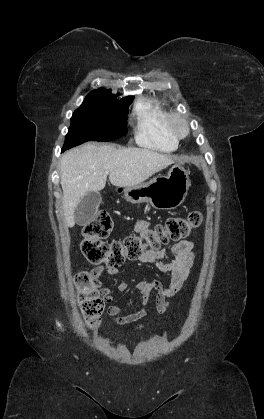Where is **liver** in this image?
I'll list each match as a JSON object with an SVG mask.
<instances>
[{"instance_id":"liver-1","label":"liver","mask_w":264,"mask_h":419,"mask_svg":"<svg viewBox=\"0 0 264 419\" xmlns=\"http://www.w3.org/2000/svg\"><path fill=\"white\" fill-rule=\"evenodd\" d=\"M172 155L145 148H116L87 143L61 158L60 183L67 227L75 224L74 212L87 192L105 187L107 176L118 187L135 186L174 163Z\"/></svg>"}]
</instances>
